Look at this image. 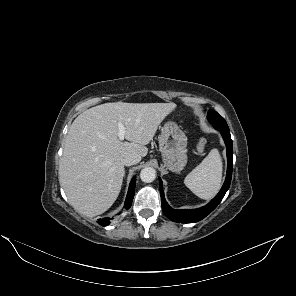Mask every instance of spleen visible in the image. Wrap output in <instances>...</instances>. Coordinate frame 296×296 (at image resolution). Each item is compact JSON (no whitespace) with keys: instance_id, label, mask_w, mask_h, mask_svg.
<instances>
[{"instance_id":"1","label":"spleen","mask_w":296,"mask_h":296,"mask_svg":"<svg viewBox=\"0 0 296 296\" xmlns=\"http://www.w3.org/2000/svg\"><path fill=\"white\" fill-rule=\"evenodd\" d=\"M222 179V160L212 149L203 161L184 179L185 185L199 198L211 199L219 190Z\"/></svg>"}]
</instances>
